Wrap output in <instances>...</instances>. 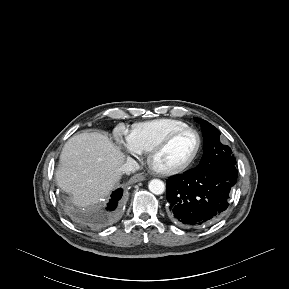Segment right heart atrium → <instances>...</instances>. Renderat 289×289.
Instances as JSON below:
<instances>
[{"mask_svg":"<svg viewBox=\"0 0 289 289\" xmlns=\"http://www.w3.org/2000/svg\"><path fill=\"white\" fill-rule=\"evenodd\" d=\"M124 149L131 155H138L140 152L135 149V147L131 144L129 137H126L122 142Z\"/></svg>","mask_w":289,"mask_h":289,"instance_id":"obj_1","label":"right heart atrium"}]
</instances>
